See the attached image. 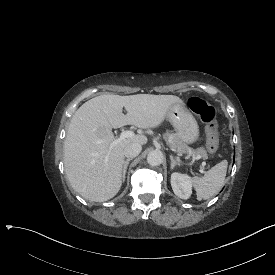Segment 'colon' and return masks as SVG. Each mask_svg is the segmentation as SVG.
<instances>
[{"mask_svg":"<svg viewBox=\"0 0 275 275\" xmlns=\"http://www.w3.org/2000/svg\"><path fill=\"white\" fill-rule=\"evenodd\" d=\"M189 108L204 123L207 132V149L210 153H215L219 148L218 126L216 123L217 109L199 97H192L189 100Z\"/></svg>","mask_w":275,"mask_h":275,"instance_id":"1","label":"colon"}]
</instances>
